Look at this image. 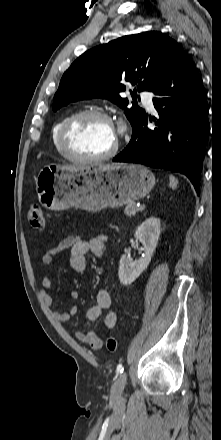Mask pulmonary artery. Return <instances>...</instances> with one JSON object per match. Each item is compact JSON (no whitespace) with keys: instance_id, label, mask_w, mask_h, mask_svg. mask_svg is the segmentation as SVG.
<instances>
[{"instance_id":"pulmonary-artery-1","label":"pulmonary artery","mask_w":221,"mask_h":440,"mask_svg":"<svg viewBox=\"0 0 221 440\" xmlns=\"http://www.w3.org/2000/svg\"><path fill=\"white\" fill-rule=\"evenodd\" d=\"M140 97H141L143 104L147 107V109H149L150 111H153L154 105H153L151 93L148 91H142L140 93Z\"/></svg>"}]
</instances>
